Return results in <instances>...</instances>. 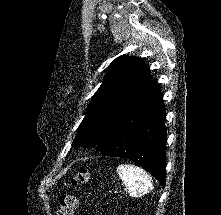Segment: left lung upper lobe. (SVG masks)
Here are the masks:
<instances>
[{
  "mask_svg": "<svg viewBox=\"0 0 221 215\" xmlns=\"http://www.w3.org/2000/svg\"><path fill=\"white\" fill-rule=\"evenodd\" d=\"M140 58L120 56L109 66L78 127L73 146H96L104 151L118 122L153 83Z\"/></svg>",
  "mask_w": 221,
  "mask_h": 215,
  "instance_id": "1",
  "label": "left lung upper lobe"
}]
</instances>
